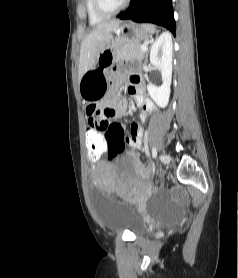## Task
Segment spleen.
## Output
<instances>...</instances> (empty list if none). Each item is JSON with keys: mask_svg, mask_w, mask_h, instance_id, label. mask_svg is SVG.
Segmentation results:
<instances>
[{"mask_svg": "<svg viewBox=\"0 0 238 278\" xmlns=\"http://www.w3.org/2000/svg\"><path fill=\"white\" fill-rule=\"evenodd\" d=\"M151 33H153L155 31L154 27L152 25H145Z\"/></svg>", "mask_w": 238, "mask_h": 278, "instance_id": "3e777b00", "label": "spleen"}]
</instances>
